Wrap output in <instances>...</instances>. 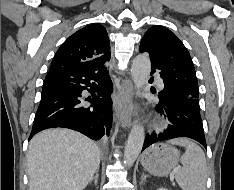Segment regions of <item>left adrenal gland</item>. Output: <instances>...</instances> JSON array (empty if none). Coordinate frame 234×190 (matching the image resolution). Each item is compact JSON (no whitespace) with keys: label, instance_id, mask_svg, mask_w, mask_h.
<instances>
[{"label":"left adrenal gland","instance_id":"left-adrenal-gland-1","mask_svg":"<svg viewBox=\"0 0 234 190\" xmlns=\"http://www.w3.org/2000/svg\"><path fill=\"white\" fill-rule=\"evenodd\" d=\"M148 177V175L146 174H142V177H141V184L146 180V178Z\"/></svg>","mask_w":234,"mask_h":190}]
</instances>
